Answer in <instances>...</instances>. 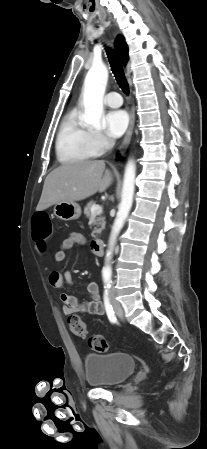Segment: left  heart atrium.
Masks as SVG:
<instances>
[{"label":"left heart atrium","mask_w":207,"mask_h":449,"mask_svg":"<svg viewBox=\"0 0 207 449\" xmlns=\"http://www.w3.org/2000/svg\"><path fill=\"white\" fill-rule=\"evenodd\" d=\"M129 116L124 110H115L105 116V130L111 138L120 137L127 129Z\"/></svg>","instance_id":"left-heart-atrium-1"}]
</instances>
